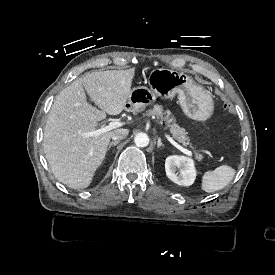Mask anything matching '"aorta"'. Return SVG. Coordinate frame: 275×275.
<instances>
[{
	"instance_id": "obj_1",
	"label": "aorta",
	"mask_w": 275,
	"mask_h": 275,
	"mask_svg": "<svg viewBox=\"0 0 275 275\" xmlns=\"http://www.w3.org/2000/svg\"><path fill=\"white\" fill-rule=\"evenodd\" d=\"M134 143L137 147H147L149 145V137L145 133H137L134 137Z\"/></svg>"
}]
</instances>
